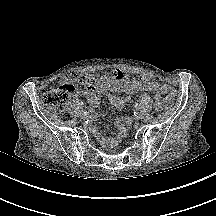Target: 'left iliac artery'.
<instances>
[{
  "instance_id": "obj_1",
  "label": "left iliac artery",
  "mask_w": 216,
  "mask_h": 216,
  "mask_svg": "<svg viewBox=\"0 0 216 216\" xmlns=\"http://www.w3.org/2000/svg\"><path fill=\"white\" fill-rule=\"evenodd\" d=\"M137 114H138V113H137L136 111H133V112H132V115H133V116H136Z\"/></svg>"
}]
</instances>
